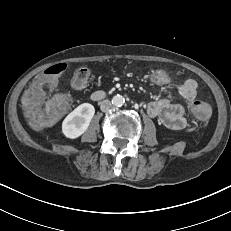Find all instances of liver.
<instances>
[{"instance_id":"obj_1","label":"liver","mask_w":231,"mask_h":231,"mask_svg":"<svg viewBox=\"0 0 231 231\" xmlns=\"http://www.w3.org/2000/svg\"><path fill=\"white\" fill-rule=\"evenodd\" d=\"M50 105H51V102H50V101H47V102L45 103V112H46L47 117L50 116V112H51V107H50Z\"/></svg>"}]
</instances>
